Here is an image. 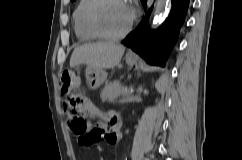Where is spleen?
Wrapping results in <instances>:
<instances>
[{
    "mask_svg": "<svg viewBox=\"0 0 242 160\" xmlns=\"http://www.w3.org/2000/svg\"><path fill=\"white\" fill-rule=\"evenodd\" d=\"M164 85V80L163 79H160L158 81V83L156 84V87L159 89V90H162V87Z\"/></svg>",
    "mask_w": 242,
    "mask_h": 160,
    "instance_id": "1",
    "label": "spleen"
}]
</instances>
